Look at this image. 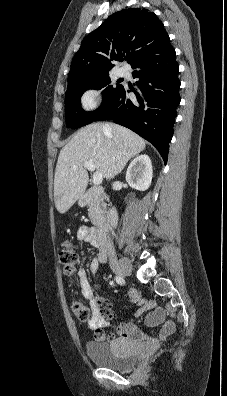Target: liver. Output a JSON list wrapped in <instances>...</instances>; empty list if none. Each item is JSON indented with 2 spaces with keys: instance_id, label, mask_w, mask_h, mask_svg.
Wrapping results in <instances>:
<instances>
[{
  "instance_id": "1",
  "label": "liver",
  "mask_w": 227,
  "mask_h": 396,
  "mask_svg": "<svg viewBox=\"0 0 227 396\" xmlns=\"http://www.w3.org/2000/svg\"><path fill=\"white\" fill-rule=\"evenodd\" d=\"M146 142L131 130L113 123H92L80 129L60 150L54 177V203L59 213L68 211L88 185L85 162L110 180L128 160L145 149Z\"/></svg>"
}]
</instances>
